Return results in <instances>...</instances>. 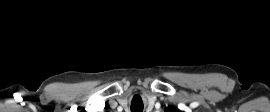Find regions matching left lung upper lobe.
<instances>
[{
	"label": "left lung upper lobe",
	"instance_id": "1",
	"mask_svg": "<svg viewBox=\"0 0 270 112\" xmlns=\"http://www.w3.org/2000/svg\"><path fill=\"white\" fill-rule=\"evenodd\" d=\"M165 112H183V111H180V110H178V109H176V108L168 107V108L165 110Z\"/></svg>",
	"mask_w": 270,
	"mask_h": 112
}]
</instances>
